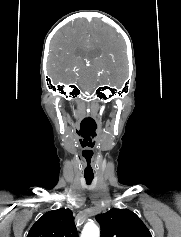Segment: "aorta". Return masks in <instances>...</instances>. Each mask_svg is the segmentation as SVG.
I'll list each match as a JSON object with an SVG mask.
<instances>
[{
  "instance_id": "1",
  "label": "aorta",
  "mask_w": 181,
  "mask_h": 237,
  "mask_svg": "<svg viewBox=\"0 0 181 237\" xmlns=\"http://www.w3.org/2000/svg\"><path fill=\"white\" fill-rule=\"evenodd\" d=\"M81 237H100V230L94 223H88L85 225Z\"/></svg>"
}]
</instances>
